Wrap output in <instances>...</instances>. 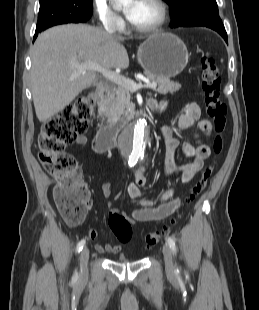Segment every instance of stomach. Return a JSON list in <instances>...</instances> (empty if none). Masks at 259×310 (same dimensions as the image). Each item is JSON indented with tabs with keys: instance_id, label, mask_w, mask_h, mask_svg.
I'll return each instance as SVG.
<instances>
[{
	"instance_id": "obj_1",
	"label": "stomach",
	"mask_w": 259,
	"mask_h": 310,
	"mask_svg": "<svg viewBox=\"0 0 259 310\" xmlns=\"http://www.w3.org/2000/svg\"><path fill=\"white\" fill-rule=\"evenodd\" d=\"M137 57L146 74L170 79L184 70L189 55L179 37L172 33H158L139 46Z\"/></svg>"
}]
</instances>
